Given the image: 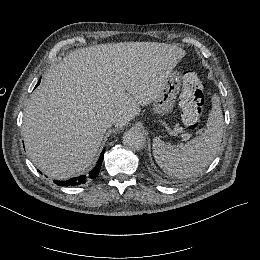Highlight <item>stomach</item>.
Segmentation results:
<instances>
[{
	"instance_id": "obj_1",
	"label": "stomach",
	"mask_w": 260,
	"mask_h": 260,
	"mask_svg": "<svg viewBox=\"0 0 260 260\" xmlns=\"http://www.w3.org/2000/svg\"><path fill=\"white\" fill-rule=\"evenodd\" d=\"M180 88L181 76L177 71H173L166 79L160 95L153 104L152 111L159 115H166L172 112Z\"/></svg>"
}]
</instances>
